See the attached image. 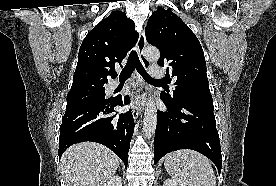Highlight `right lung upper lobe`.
<instances>
[{"instance_id":"right-lung-upper-lobe-1","label":"right lung upper lobe","mask_w":276,"mask_h":186,"mask_svg":"<svg viewBox=\"0 0 276 186\" xmlns=\"http://www.w3.org/2000/svg\"><path fill=\"white\" fill-rule=\"evenodd\" d=\"M137 40L134 22L124 12L113 11L84 38L71 89L84 85H105L107 77L114 78L115 66L121 65Z\"/></svg>"}]
</instances>
